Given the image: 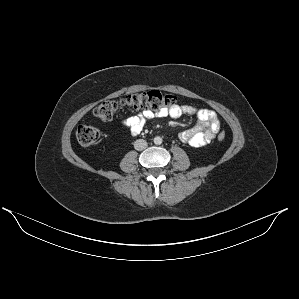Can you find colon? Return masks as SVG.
I'll return each instance as SVG.
<instances>
[{
	"label": "colon",
	"instance_id": "obj_1",
	"mask_svg": "<svg viewBox=\"0 0 299 299\" xmlns=\"http://www.w3.org/2000/svg\"><path fill=\"white\" fill-rule=\"evenodd\" d=\"M175 97L159 90H150L141 93L130 94L120 99L105 100L94 108V115L102 121L111 120L120 110H153L168 109L175 105ZM76 138L83 146L96 143L100 138L98 128L91 125H82L77 129ZM219 141L225 139V133L219 132Z\"/></svg>",
	"mask_w": 299,
	"mask_h": 299
}]
</instances>
